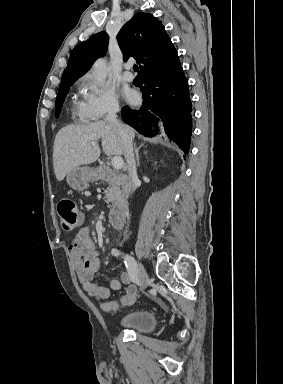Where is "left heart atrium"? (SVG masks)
I'll return each mask as SVG.
<instances>
[{
  "label": "left heart atrium",
  "instance_id": "obj_1",
  "mask_svg": "<svg viewBox=\"0 0 283 384\" xmlns=\"http://www.w3.org/2000/svg\"><path fill=\"white\" fill-rule=\"evenodd\" d=\"M124 96L129 103H135L138 100V95L131 90L125 91Z\"/></svg>",
  "mask_w": 283,
  "mask_h": 384
}]
</instances>
